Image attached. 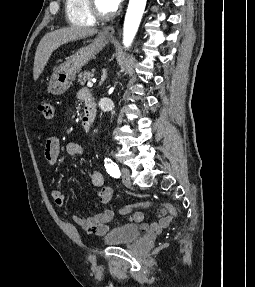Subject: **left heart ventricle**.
I'll return each instance as SVG.
<instances>
[{
	"label": "left heart ventricle",
	"instance_id": "obj_1",
	"mask_svg": "<svg viewBox=\"0 0 255 287\" xmlns=\"http://www.w3.org/2000/svg\"><path fill=\"white\" fill-rule=\"evenodd\" d=\"M116 39H124V38H116ZM112 48H129V47H112Z\"/></svg>",
	"mask_w": 255,
	"mask_h": 287
}]
</instances>
